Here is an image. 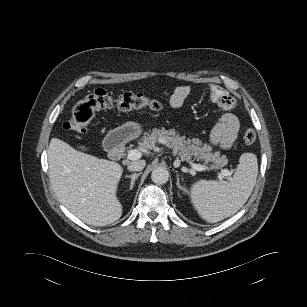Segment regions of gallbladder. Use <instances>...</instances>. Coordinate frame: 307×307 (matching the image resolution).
Segmentation results:
<instances>
[{
	"instance_id": "bac80fb5",
	"label": "gallbladder",
	"mask_w": 307,
	"mask_h": 307,
	"mask_svg": "<svg viewBox=\"0 0 307 307\" xmlns=\"http://www.w3.org/2000/svg\"><path fill=\"white\" fill-rule=\"evenodd\" d=\"M82 150H86V148L84 146L80 147Z\"/></svg>"
}]
</instances>
